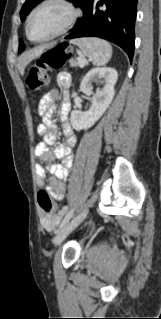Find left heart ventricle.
Here are the masks:
<instances>
[{
  "label": "left heart ventricle",
  "mask_w": 161,
  "mask_h": 319,
  "mask_svg": "<svg viewBox=\"0 0 161 319\" xmlns=\"http://www.w3.org/2000/svg\"><path fill=\"white\" fill-rule=\"evenodd\" d=\"M67 11L59 5H47L40 9L32 18L30 35L34 39L47 37L63 24Z\"/></svg>",
  "instance_id": "obj_1"
}]
</instances>
